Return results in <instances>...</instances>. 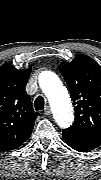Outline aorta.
<instances>
[{
	"mask_svg": "<svg viewBox=\"0 0 101 180\" xmlns=\"http://www.w3.org/2000/svg\"><path fill=\"white\" fill-rule=\"evenodd\" d=\"M39 84L51 105L53 116L61 128L69 127L74 119L73 107L67 89L51 71L39 75Z\"/></svg>",
	"mask_w": 101,
	"mask_h": 180,
	"instance_id": "1",
	"label": "aorta"
}]
</instances>
